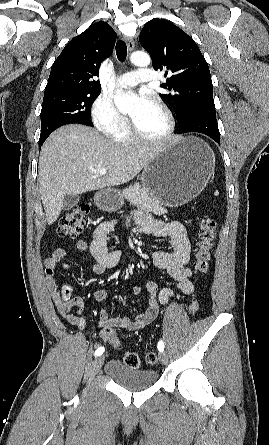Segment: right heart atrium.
I'll return each instance as SVG.
<instances>
[{
    "instance_id": "d8ad5b80",
    "label": "right heart atrium",
    "mask_w": 269,
    "mask_h": 445,
    "mask_svg": "<svg viewBox=\"0 0 269 445\" xmlns=\"http://www.w3.org/2000/svg\"><path fill=\"white\" fill-rule=\"evenodd\" d=\"M91 120L101 133L112 135L128 126L127 119L117 110L113 99L100 94L91 105Z\"/></svg>"
}]
</instances>
